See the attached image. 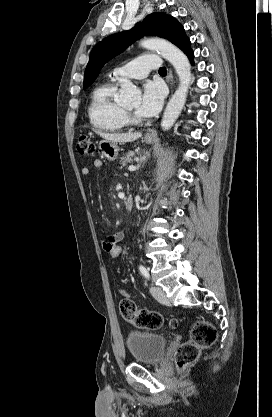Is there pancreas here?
I'll return each instance as SVG.
<instances>
[{
	"label": "pancreas",
	"instance_id": "1",
	"mask_svg": "<svg viewBox=\"0 0 272 417\" xmlns=\"http://www.w3.org/2000/svg\"><path fill=\"white\" fill-rule=\"evenodd\" d=\"M135 159H137V157L135 156V153L134 152H129L121 158L120 164L122 165V167H124L128 163H131Z\"/></svg>",
	"mask_w": 272,
	"mask_h": 417
}]
</instances>
